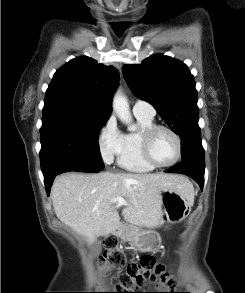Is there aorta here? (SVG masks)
<instances>
[{"label": "aorta", "mask_w": 245, "mask_h": 293, "mask_svg": "<svg viewBox=\"0 0 245 293\" xmlns=\"http://www.w3.org/2000/svg\"><path fill=\"white\" fill-rule=\"evenodd\" d=\"M112 107L117 117L123 123L128 125V129L134 130L135 126L132 124V117L130 113L128 100L120 91H117L115 93L112 101Z\"/></svg>", "instance_id": "1"}]
</instances>
